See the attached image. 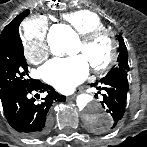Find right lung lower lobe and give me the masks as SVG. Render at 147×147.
Returning <instances> with one entry per match:
<instances>
[{"mask_svg": "<svg viewBox=\"0 0 147 147\" xmlns=\"http://www.w3.org/2000/svg\"><path fill=\"white\" fill-rule=\"evenodd\" d=\"M47 92L45 98L36 101L29 93ZM5 117L12 128L27 137H38L49 129L48 111L53 101L64 102L66 97L57 93L51 86L39 80L31 81L28 86L0 95Z\"/></svg>", "mask_w": 147, "mask_h": 147, "instance_id": "right-lung-lower-lobe-1", "label": "right lung lower lobe"}]
</instances>
